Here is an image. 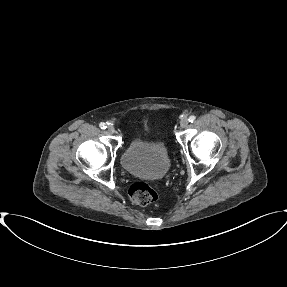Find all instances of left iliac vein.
I'll use <instances>...</instances> for the list:
<instances>
[{"label":"left iliac vein","instance_id":"left-iliac-vein-1","mask_svg":"<svg viewBox=\"0 0 287 287\" xmlns=\"http://www.w3.org/2000/svg\"><path fill=\"white\" fill-rule=\"evenodd\" d=\"M188 124H189V120L187 118L182 119L181 122H180V126L182 128H187Z\"/></svg>","mask_w":287,"mask_h":287}]
</instances>
